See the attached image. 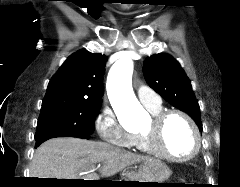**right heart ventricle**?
Wrapping results in <instances>:
<instances>
[{"label": "right heart ventricle", "instance_id": "1", "mask_svg": "<svg viewBox=\"0 0 240 187\" xmlns=\"http://www.w3.org/2000/svg\"><path fill=\"white\" fill-rule=\"evenodd\" d=\"M148 109L152 114H157L158 112L161 111V107L157 108V109H150V108H148ZM133 146L141 152L150 153L146 146L144 138L140 134L134 136Z\"/></svg>", "mask_w": 240, "mask_h": 187}]
</instances>
